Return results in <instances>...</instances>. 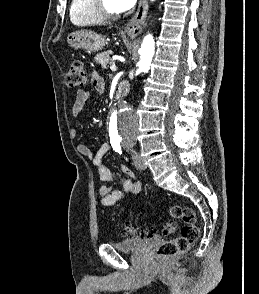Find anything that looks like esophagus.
<instances>
[{
	"instance_id": "34e87169",
	"label": "esophagus",
	"mask_w": 259,
	"mask_h": 294,
	"mask_svg": "<svg viewBox=\"0 0 259 294\" xmlns=\"http://www.w3.org/2000/svg\"><path fill=\"white\" fill-rule=\"evenodd\" d=\"M148 10V1L147 0H140L139 6L134 14V16L130 19L127 25L124 28V31L131 37H136L138 34L141 33L143 24L146 19Z\"/></svg>"
}]
</instances>
